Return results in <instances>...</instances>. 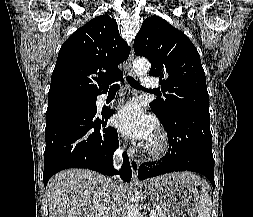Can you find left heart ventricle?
<instances>
[{
  "instance_id": "1",
  "label": "left heart ventricle",
  "mask_w": 253,
  "mask_h": 217,
  "mask_svg": "<svg viewBox=\"0 0 253 217\" xmlns=\"http://www.w3.org/2000/svg\"><path fill=\"white\" fill-rule=\"evenodd\" d=\"M154 139V137L150 140V142Z\"/></svg>"
}]
</instances>
